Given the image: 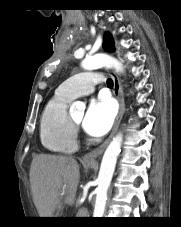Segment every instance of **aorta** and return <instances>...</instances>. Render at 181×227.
<instances>
[{
    "label": "aorta",
    "mask_w": 181,
    "mask_h": 227,
    "mask_svg": "<svg viewBox=\"0 0 181 227\" xmlns=\"http://www.w3.org/2000/svg\"><path fill=\"white\" fill-rule=\"evenodd\" d=\"M85 70H93L101 67H112L118 72H123L122 64L115 58L106 54H96L88 57L81 63ZM83 103L75 102L71 109L84 108ZM122 143V133H118L108 145L99 170L98 186L96 188V201L93 217H103L107 200V191L110 186L116 166L118 154Z\"/></svg>",
    "instance_id": "aorta-1"
}]
</instances>
